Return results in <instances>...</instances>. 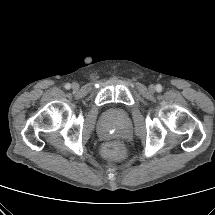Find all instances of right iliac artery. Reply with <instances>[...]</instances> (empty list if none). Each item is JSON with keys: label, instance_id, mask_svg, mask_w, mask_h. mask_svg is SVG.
<instances>
[{"label": "right iliac artery", "instance_id": "82829eb1", "mask_svg": "<svg viewBox=\"0 0 215 215\" xmlns=\"http://www.w3.org/2000/svg\"><path fill=\"white\" fill-rule=\"evenodd\" d=\"M71 85L69 83L65 84L66 89H70Z\"/></svg>", "mask_w": 215, "mask_h": 215}]
</instances>
